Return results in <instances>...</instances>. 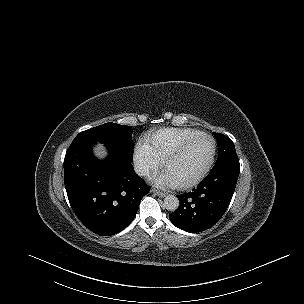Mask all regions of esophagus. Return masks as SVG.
Wrapping results in <instances>:
<instances>
[{
    "label": "esophagus",
    "instance_id": "34e87169",
    "mask_svg": "<svg viewBox=\"0 0 304 304\" xmlns=\"http://www.w3.org/2000/svg\"><path fill=\"white\" fill-rule=\"evenodd\" d=\"M151 192L155 193L157 196H159L161 198H163V197H165L167 195V193L159 191V190H157L155 188H152Z\"/></svg>",
    "mask_w": 304,
    "mask_h": 304
}]
</instances>
